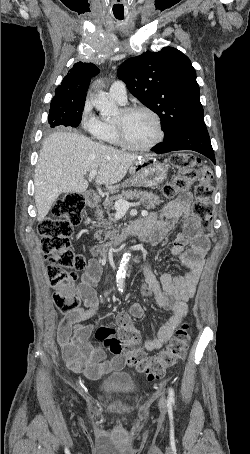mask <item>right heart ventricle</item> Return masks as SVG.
Masks as SVG:
<instances>
[{"label":"right heart ventricle","instance_id":"1","mask_svg":"<svg viewBox=\"0 0 250 454\" xmlns=\"http://www.w3.org/2000/svg\"><path fill=\"white\" fill-rule=\"evenodd\" d=\"M99 129L94 133L95 138L103 143L118 144L113 121L100 120Z\"/></svg>","mask_w":250,"mask_h":454}]
</instances>
